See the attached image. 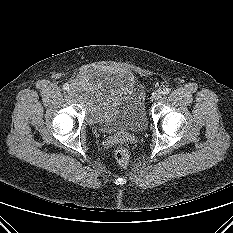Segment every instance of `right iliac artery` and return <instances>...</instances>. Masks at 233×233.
Instances as JSON below:
<instances>
[{
	"label": "right iliac artery",
	"instance_id": "obj_1",
	"mask_svg": "<svg viewBox=\"0 0 233 233\" xmlns=\"http://www.w3.org/2000/svg\"><path fill=\"white\" fill-rule=\"evenodd\" d=\"M63 89H64V90H69V85H68V84H64V85H63Z\"/></svg>",
	"mask_w": 233,
	"mask_h": 233
}]
</instances>
